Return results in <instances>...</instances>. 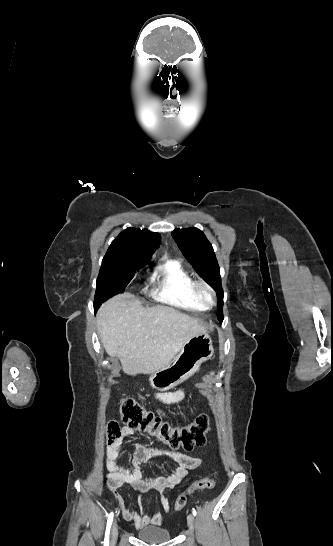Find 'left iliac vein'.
<instances>
[{"label": "left iliac vein", "mask_w": 333, "mask_h": 546, "mask_svg": "<svg viewBox=\"0 0 333 546\" xmlns=\"http://www.w3.org/2000/svg\"><path fill=\"white\" fill-rule=\"evenodd\" d=\"M187 524L191 531H193L194 528V516L192 514H189L187 516Z\"/></svg>", "instance_id": "4c4485c4"}]
</instances>
